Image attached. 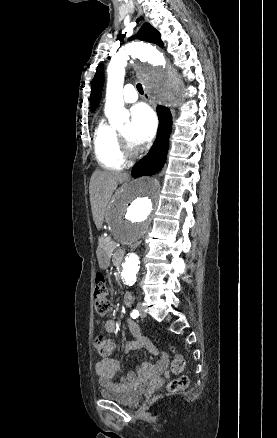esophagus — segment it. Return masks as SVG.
Instances as JSON below:
<instances>
[{
	"label": "esophagus",
	"instance_id": "obj_1",
	"mask_svg": "<svg viewBox=\"0 0 277 438\" xmlns=\"http://www.w3.org/2000/svg\"><path fill=\"white\" fill-rule=\"evenodd\" d=\"M144 98L146 99V100H148V101H150L151 102V100H150V98H149V94L147 93V91L145 90L144 91Z\"/></svg>",
	"mask_w": 277,
	"mask_h": 438
}]
</instances>
